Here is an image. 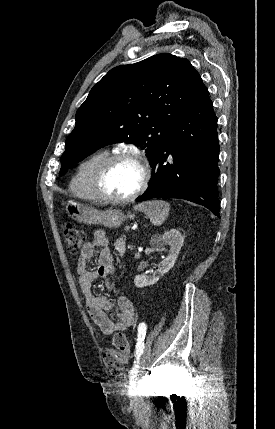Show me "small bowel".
<instances>
[{"instance_id": "small-bowel-1", "label": "small bowel", "mask_w": 275, "mask_h": 429, "mask_svg": "<svg viewBox=\"0 0 275 429\" xmlns=\"http://www.w3.org/2000/svg\"><path fill=\"white\" fill-rule=\"evenodd\" d=\"M96 248H99L98 266L95 270H90L87 267V261L94 256ZM114 272L113 258L107 247L105 233L102 230H96L92 242L84 244L81 250L77 261V274L86 309L92 320L106 335L117 330H126L136 321L135 306L128 297H118V310L111 312L113 301L106 296L96 294L93 290L92 283L97 277L104 279L110 287Z\"/></svg>"}]
</instances>
